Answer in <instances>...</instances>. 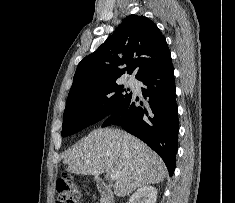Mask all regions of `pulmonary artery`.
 <instances>
[{
    "label": "pulmonary artery",
    "mask_w": 235,
    "mask_h": 203,
    "mask_svg": "<svg viewBox=\"0 0 235 203\" xmlns=\"http://www.w3.org/2000/svg\"><path fill=\"white\" fill-rule=\"evenodd\" d=\"M128 83H129L130 85H135V84H136L135 80H133V79H130V80L128 81Z\"/></svg>",
    "instance_id": "e3ab8cb5"
}]
</instances>
